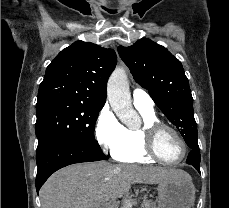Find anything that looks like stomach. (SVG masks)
Returning <instances> with one entry per match:
<instances>
[{
    "label": "stomach",
    "instance_id": "obj_1",
    "mask_svg": "<svg viewBox=\"0 0 229 208\" xmlns=\"http://www.w3.org/2000/svg\"><path fill=\"white\" fill-rule=\"evenodd\" d=\"M156 190L158 208H191L195 200L191 178L160 180Z\"/></svg>",
    "mask_w": 229,
    "mask_h": 208
}]
</instances>
